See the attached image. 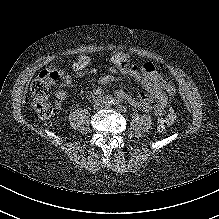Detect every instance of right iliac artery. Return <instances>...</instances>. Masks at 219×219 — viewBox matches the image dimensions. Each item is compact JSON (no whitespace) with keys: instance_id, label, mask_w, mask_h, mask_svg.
Masks as SVG:
<instances>
[{"instance_id":"82829eb1","label":"right iliac artery","mask_w":219,"mask_h":219,"mask_svg":"<svg viewBox=\"0 0 219 219\" xmlns=\"http://www.w3.org/2000/svg\"><path fill=\"white\" fill-rule=\"evenodd\" d=\"M103 102L108 103V104H113L114 103V98L110 95H107V96L104 97Z\"/></svg>"}]
</instances>
